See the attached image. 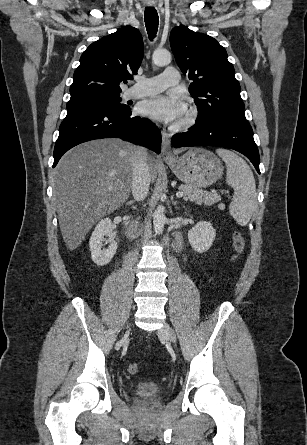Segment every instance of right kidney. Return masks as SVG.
Instances as JSON below:
<instances>
[{
	"label": "right kidney",
	"mask_w": 307,
	"mask_h": 445,
	"mask_svg": "<svg viewBox=\"0 0 307 445\" xmlns=\"http://www.w3.org/2000/svg\"><path fill=\"white\" fill-rule=\"evenodd\" d=\"M104 237H109L106 243H109L108 249L101 251L103 245L102 241H105ZM116 233L112 231V225L110 218H102L100 223L96 225L89 241L92 261L98 265V267H104L112 261L116 251L117 243L114 241Z\"/></svg>",
	"instance_id": "obj_1"
}]
</instances>
